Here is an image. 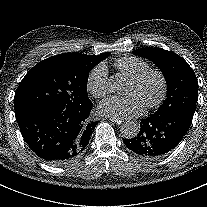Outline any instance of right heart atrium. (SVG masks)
<instances>
[{
    "mask_svg": "<svg viewBox=\"0 0 207 207\" xmlns=\"http://www.w3.org/2000/svg\"><path fill=\"white\" fill-rule=\"evenodd\" d=\"M87 89L95 98H103L109 93L108 69L105 63L93 67L87 76Z\"/></svg>",
    "mask_w": 207,
    "mask_h": 207,
    "instance_id": "obj_1",
    "label": "right heart atrium"
}]
</instances>
